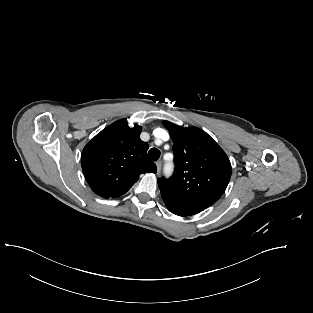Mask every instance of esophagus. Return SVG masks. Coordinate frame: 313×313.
Instances as JSON below:
<instances>
[{
	"label": "esophagus",
	"mask_w": 313,
	"mask_h": 313,
	"mask_svg": "<svg viewBox=\"0 0 313 313\" xmlns=\"http://www.w3.org/2000/svg\"><path fill=\"white\" fill-rule=\"evenodd\" d=\"M156 167H157V174H159L161 171V161L156 162Z\"/></svg>",
	"instance_id": "obj_1"
}]
</instances>
